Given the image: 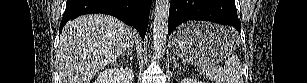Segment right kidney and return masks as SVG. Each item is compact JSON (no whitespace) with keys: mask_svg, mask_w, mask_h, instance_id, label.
I'll return each instance as SVG.
<instances>
[{"mask_svg":"<svg viewBox=\"0 0 307 83\" xmlns=\"http://www.w3.org/2000/svg\"><path fill=\"white\" fill-rule=\"evenodd\" d=\"M134 74L128 67L107 68L102 71L95 83H133Z\"/></svg>","mask_w":307,"mask_h":83,"instance_id":"obj_1","label":"right kidney"}]
</instances>
